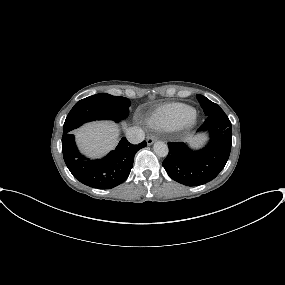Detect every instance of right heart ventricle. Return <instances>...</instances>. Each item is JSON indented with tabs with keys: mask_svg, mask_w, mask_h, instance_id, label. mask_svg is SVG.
Masks as SVG:
<instances>
[{
	"mask_svg": "<svg viewBox=\"0 0 285 285\" xmlns=\"http://www.w3.org/2000/svg\"><path fill=\"white\" fill-rule=\"evenodd\" d=\"M195 110L184 103H170L155 110L148 118V125L162 130L183 127Z\"/></svg>",
	"mask_w": 285,
	"mask_h": 285,
	"instance_id": "1",
	"label": "right heart ventricle"
}]
</instances>
